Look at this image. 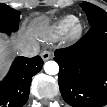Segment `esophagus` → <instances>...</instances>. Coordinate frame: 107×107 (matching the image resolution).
Masks as SVG:
<instances>
[{
  "label": "esophagus",
  "instance_id": "1",
  "mask_svg": "<svg viewBox=\"0 0 107 107\" xmlns=\"http://www.w3.org/2000/svg\"><path fill=\"white\" fill-rule=\"evenodd\" d=\"M41 57H42V59H43L44 61L49 60V59L52 58V53H51L50 51H48V50H44V51H42V53H41Z\"/></svg>",
  "mask_w": 107,
  "mask_h": 107
}]
</instances>
